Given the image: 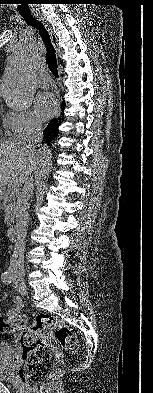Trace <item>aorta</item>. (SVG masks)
I'll list each match as a JSON object with an SVG mask.
<instances>
[{"label":"aorta","instance_id":"obj_1","mask_svg":"<svg viewBox=\"0 0 153 393\" xmlns=\"http://www.w3.org/2000/svg\"><path fill=\"white\" fill-rule=\"evenodd\" d=\"M41 57L42 46L33 37L22 40L9 55L0 90L10 109L23 111L30 107L36 90L34 74ZM36 159L40 177L46 178L52 168L51 148L43 145Z\"/></svg>","mask_w":153,"mask_h":393}]
</instances>
